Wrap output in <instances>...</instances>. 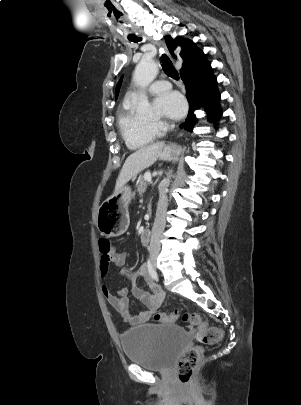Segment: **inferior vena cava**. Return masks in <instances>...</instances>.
<instances>
[{
  "label": "inferior vena cava",
  "instance_id": "602c4592",
  "mask_svg": "<svg viewBox=\"0 0 301 405\" xmlns=\"http://www.w3.org/2000/svg\"><path fill=\"white\" fill-rule=\"evenodd\" d=\"M173 128L174 125H171ZM170 179L167 178L164 181V186L159 191V201L157 204L156 210V217L154 220L152 233H151V240H150V253L151 254H158L161 248L160 239L162 233L165 228L166 223V211L168 206V199H167V190L166 188L169 186Z\"/></svg>",
  "mask_w": 301,
  "mask_h": 405
}]
</instances>
